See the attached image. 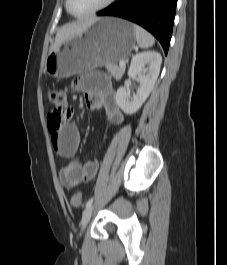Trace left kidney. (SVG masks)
<instances>
[{"mask_svg": "<svg viewBox=\"0 0 227 265\" xmlns=\"http://www.w3.org/2000/svg\"><path fill=\"white\" fill-rule=\"evenodd\" d=\"M161 63L162 56L155 51L141 52L133 56L128 76L136 77L140 87L131 98L125 87H120L116 92V102L126 114H134L146 101L158 78ZM146 64L147 68H145Z\"/></svg>", "mask_w": 227, "mask_h": 265, "instance_id": "obj_1", "label": "left kidney"}]
</instances>
